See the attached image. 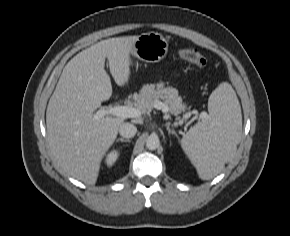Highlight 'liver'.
<instances>
[{
	"label": "liver",
	"instance_id": "liver-1",
	"mask_svg": "<svg viewBox=\"0 0 290 236\" xmlns=\"http://www.w3.org/2000/svg\"><path fill=\"white\" fill-rule=\"evenodd\" d=\"M138 36L102 40L74 56L64 67L46 111L47 140L60 167L86 184L97 181L103 156L125 118L95 111L112 95L110 73L118 86L130 78V51Z\"/></svg>",
	"mask_w": 290,
	"mask_h": 236
}]
</instances>
